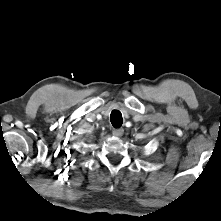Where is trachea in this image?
Segmentation results:
<instances>
[{
  "label": "trachea",
  "instance_id": "1",
  "mask_svg": "<svg viewBox=\"0 0 221 221\" xmlns=\"http://www.w3.org/2000/svg\"><path fill=\"white\" fill-rule=\"evenodd\" d=\"M110 121L115 128L121 127L123 123L122 114L119 110H113L110 115Z\"/></svg>",
  "mask_w": 221,
  "mask_h": 221
}]
</instances>
